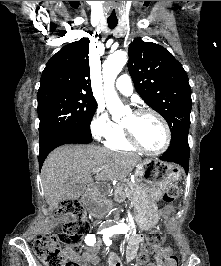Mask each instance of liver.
Instances as JSON below:
<instances>
[{
    "instance_id": "liver-1",
    "label": "liver",
    "mask_w": 221,
    "mask_h": 266,
    "mask_svg": "<svg viewBox=\"0 0 221 266\" xmlns=\"http://www.w3.org/2000/svg\"><path fill=\"white\" fill-rule=\"evenodd\" d=\"M142 159L134 154L114 152L94 145H65L52 151L42 170V186L50 209H56L66 193L77 184L92 182V170L97 181L123 180Z\"/></svg>"
}]
</instances>
